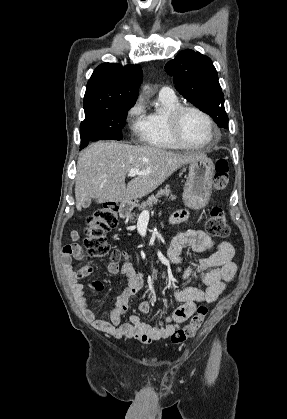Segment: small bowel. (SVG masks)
<instances>
[{
  "instance_id": "c3829d8e",
  "label": "small bowel",
  "mask_w": 287,
  "mask_h": 419,
  "mask_svg": "<svg viewBox=\"0 0 287 419\" xmlns=\"http://www.w3.org/2000/svg\"><path fill=\"white\" fill-rule=\"evenodd\" d=\"M187 212L181 210L175 213L171 222L179 224L187 221ZM70 242L64 245L61 255V263L66 272L73 291L74 298L82 314L96 329L114 336L115 338L134 339L144 344H149L159 339L170 337L175 330L192 316L196 305L199 302H214L225 289L226 282L233 279L236 273V264L233 262L234 248L228 241H222L216 245L214 253L202 260L194 267L184 270L183 277L199 275L206 289L188 287L175 290V299L182 304L175 309L173 314L165 322L149 325L141 321L140 317L132 314L129 322H123V315L128 311L134 295L143 286L144 274L136 270L128 259L125 252L121 253L122 263L112 260L108 264V272L117 274L119 272L126 276L125 284L119 293L114 307L109 312V320L98 318L97 314L90 308L85 297L83 284L79 281L87 278L93 273L92 265L88 264L74 270L72 263L74 259H84L85 255L78 244L80 233L72 230L69 234ZM215 244L202 230L188 229L178 233L171 241L168 249V257L172 263L179 262V254L185 247L195 252H204ZM88 286L95 291H101L104 285L99 280L91 281ZM151 304L143 301L139 304L142 313H148Z\"/></svg>"
}]
</instances>
